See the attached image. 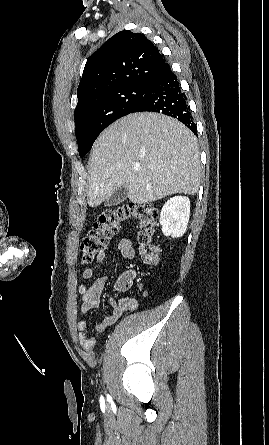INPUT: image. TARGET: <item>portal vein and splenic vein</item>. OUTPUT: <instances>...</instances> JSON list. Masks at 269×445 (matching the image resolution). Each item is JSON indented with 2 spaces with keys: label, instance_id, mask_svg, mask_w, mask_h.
Here are the masks:
<instances>
[{
  "label": "portal vein and splenic vein",
  "instance_id": "1",
  "mask_svg": "<svg viewBox=\"0 0 269 445\" xmlns=\"http://www.w3.org/2000/svg\"><path fill=\"white\" fill-rule=\"evenodd\" d=\"M138 169H139L138 167L135 168V170H138Z\"/></svg>",
  "mask_w": 269,
  "mask_h": 445
}]
</instances>
